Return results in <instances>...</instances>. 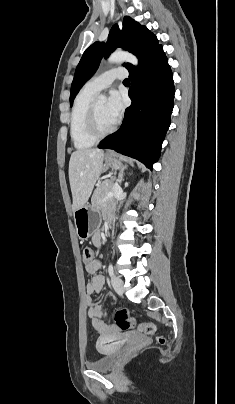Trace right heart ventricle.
<instances>
[{
  "label": "right heart ventricle",
  "instance_id": "obj_1",
  "mask_svg": "<svg viewBox=\"0 0 235 404\" xmlns=\"http://www.w3.org/2000/svg\"><path fill=\"white\" fill-rule=\"evenodd\" d=\"M94 94L82 90L75 98L70 117V136L76 149H88L96 144L87 131L89 107Z\"/></svg>",
  "mask_w": 235,
  "mask_h": 404
}]
</instances>
